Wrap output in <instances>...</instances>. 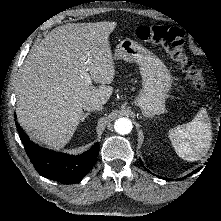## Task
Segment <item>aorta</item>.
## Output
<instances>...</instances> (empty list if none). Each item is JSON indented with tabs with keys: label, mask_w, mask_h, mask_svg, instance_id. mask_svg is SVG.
<instances>
[{
	"label": "aorta",
	"mask_w": 221,
	"mask_h": 221,
	"mask_svg": "<svg viewBox=\"0 0 221 221\" xmlns=\"http://www.w3.org/2000/svg\"><path fill=\"white\" fill-rule=\"evenodd\" d=\"M115 131L121 135L129 134L132 131V122L128 118H119L114 124Z\"/></svg>",
	"instance_id": "aorta-1"
}]
</instances>
